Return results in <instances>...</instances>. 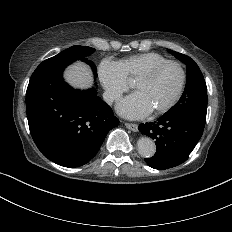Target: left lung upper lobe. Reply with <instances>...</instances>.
Listing matches in <instances>:
<instances>
[{"label": "left lung upper lobe", "mask_w": 232, "mask_h": 232, "mask_svg": "<svg viewBox=\"0 0 232 232\" xmlns=\"http://www.w3.org/2000/svg\"><path fill=\"white\" fill-rule=\"evenodd\" d=\"M168 52L187 65V82L182 97L166 114L184 115L205 126L208 99L203 74L192 58L172 50Z\"/></svg>", "instance_id": "1"}]
</instances>
